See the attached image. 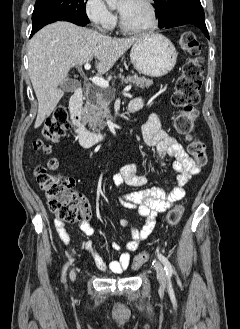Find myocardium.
<instances>
[{
    "label": "myocardium",
    "mask_w": 240,
    "mask_h": 329,
    "mask_svg": "<svg viewBox=\"0 0 240 329\" xmlns=\"http://www.w3.org/2000/svg\"><path fill=\"white\" fill-rule=\"evenodd\" d=\"M143 1L146 3V5L150 11V17H151L150 23L143 27L131 28V27H128L124 23L121 16H119V28L122 32L127 33V34H144V33L153 31L158 26L159 18H158V12H157V8H156L154 1L153 0H143Z\"/></svg>",
    "instance_id": "f54148a6"
}]
</instances>
